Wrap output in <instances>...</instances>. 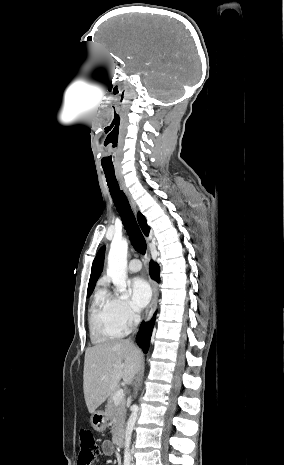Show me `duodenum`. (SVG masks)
Here are the masks:
<instances>
[{"label": "duodenum", "instance_id": "obj_1", "mask_svg": "<svg viewBox=\"0 0 284 465\" xmlns=\"http://www.w3.org/2000/svg\"><path fill=\"white\" fill-rule=\"evenodd\" d=\"M123 437L124 433L122 430H116L115 436H114V442L117 446H120L123 444Z\"/></svg>", "mask_w": 284, "mask_h": 465}]
</instances>
